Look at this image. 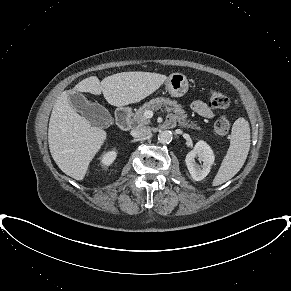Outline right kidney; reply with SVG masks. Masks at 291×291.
<instances>
[{
  "mask_svg": "<svg viewBox=\"0 0 291 291\" xmlns=\"http://www.w3.org/2000/svg\"><path fill=\"white\" fill-rule=\"evenodd\" d=\"M116 151H109L107 153H104L101 157V163L105 166H109L113 163V161L116 158Z\"/></svg>",
  "mask_w": 291,
  "mask_h": 291,
  "instance_id": "right-kidney-1",
  "label": "right kidney"
}]
</instances>
